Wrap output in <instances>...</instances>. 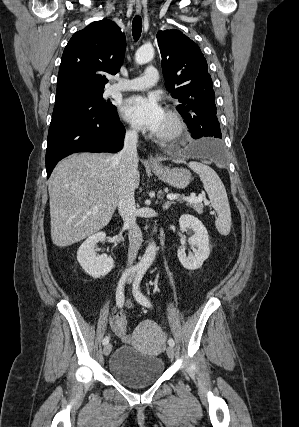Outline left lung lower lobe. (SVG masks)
I'll return each instance as SVG.
<instances>
[{
  "label": "left lung lower lobe",
  "instance_id": "left-lung-lower-lobe-1",
  "mask_svg": "<svg viewBox=\"0 0 299 427\" xmlns=\"http://www.w3.org/2000/svg\"><path fill=\"white\" fill-rule=\"evenodd\" d=\"M183 117L188 128L191 129V136L194 139H199L201 137H215L211 130L213 127L211 125L212 118H210L209 109L197 108L193 113H186ZM191 151L208 155L217 160L223 159L221 146L217 141L198 142L191 148Z\"/></svg>",
  "mask_w": 299,
  "mask_h": 427
}]
</instances>
